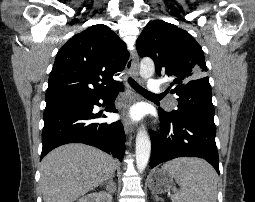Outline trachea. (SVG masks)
Wrapping results in <instances>:
<instances>
[{
	"instance_id": "trachea-1",
	"label": "trachea",
	"mask_w": 255,
	"mask_h": 202,
	"mask_svg": "<svg viewBox=\"0 0 255 202\" xmlns=\"http://www.w3.org/2000/svg\"><path fill=\"white\" fill-rule=\"evenodd\" d=\"M128 82L130 83V85L139 93L144 94V95H149V96H153V97H158L161 98L163 97V95H157V94H153L149 91H147L146 89H144L143 87H141L137 82H135L132 78L128 79Z\"/></svg>"
}]
</instances>
